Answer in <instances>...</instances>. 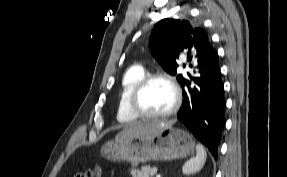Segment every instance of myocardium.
<instances>
[{
	"instance_id": "1",
	"label": "myocardium",
	"mask_w": 287,
	"mask_h": 177,
	"mask_svg": "<svg viewBox=\"0 0 287 177\" xmlns=\"http://www.w3.org/2000/svg\"><path fill=\"white\" fill-rule=\"evenodd\" d=\"M155 80H161L166 82L172 89L174 95V101L171 108L168 109L166 112L159 114L145 112L139 106V98L142 91L146 88L148 84H150L152 81ZM180 105H181V91L179 89V86L171 76L162 72L149 73L144 75L132 90L129 98V106L131 111L138 117L145 119H163L169 117L178 111Z\"/></svg>"
}]
</instances>
